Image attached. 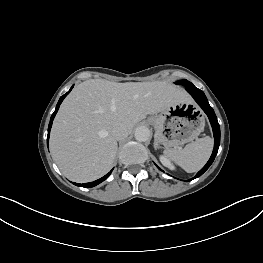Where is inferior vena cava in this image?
Listing matches in <instances>:
<instances>
[{
  "mask_svg": "<svg viewBox=\"0 0 263 263\" xmlns=\"http://www.w3.org/2000/svg\"><path fill=\"white\" fill-rule=\"evenodd\" d=\"M112 136L116 140H122L129 135V131L123 124H118L112 129Z\"/></svg>",
  "mask_w": 263,
  "mask_h": 263,
  "instance_id": "602c4592",
  "label": "inferior vena cava"
}]
</instances>
